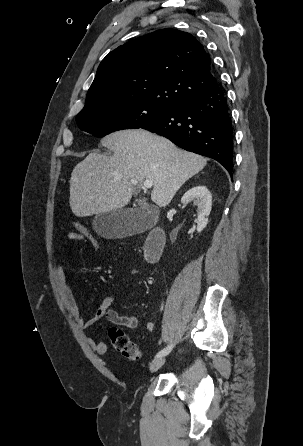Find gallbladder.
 I'll return each instance as SVG.
<instances>
[{
	"label": "gallbladder",
	"mask_w": 303,
	"mask_h": 446,
	"mask_svg": "<svg viewBox=\"0 0 303 446\" xmlns=\"http://www.w3.org/2000/svg\"><path fill=\"white\" fill-rule=\"evenodd\" d=\"M150 216L138 207L118 209L102 213L93 221L96 233L106 238H115L143 230Z\"/></svg>",
	"instance_id": "1"
}]
</instances>
